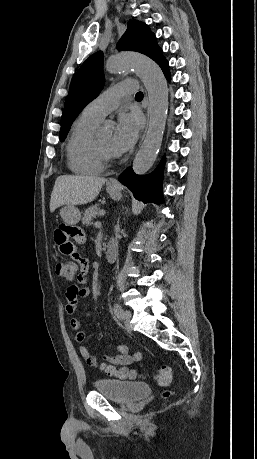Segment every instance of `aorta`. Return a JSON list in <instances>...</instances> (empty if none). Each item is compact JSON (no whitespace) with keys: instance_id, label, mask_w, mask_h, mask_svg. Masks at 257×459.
Instances as JSON below:
<instances>
[{"instance_id":"aorta-1","label":"aorta","mask_w":257,"mask_h":459,"mask_svg":"<svg viewBox=\"0 0 257 459\" xmlns=\"http://www.w3.org/2000/svg\"><path fill=\"white\" fill-rule=\"evenodd\" d=\"M134 69L148 92L150 120L143 144L133 161L136 174H145L154 164L161 147L168 108V86L161 68L148 57L117 54L108 58L106 70L118 73Z\"/></svg>"}]
</instances>
